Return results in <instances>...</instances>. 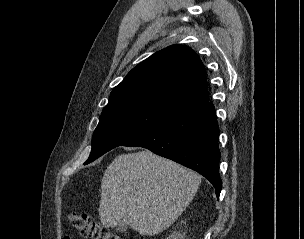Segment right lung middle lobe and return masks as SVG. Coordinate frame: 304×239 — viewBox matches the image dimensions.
Segmentation results:
<instances>
[{
  "instance_id": "1",
  "label": "right lung middle lobe",
  "mask_w": 304,
  "mask_h": 239,
  "mask_svg": "<svg viewBox=\"0 0 304 239\" xmlns=\"http://www.w3.org/2000/svg\"><path fill=\"white\" fill-rule=\"evenodd\" d=\"M169 120L143 109H123L103 113L92 137V149L86 164L109 150L124 145Z\"/></svg>"
}]
</instances>
